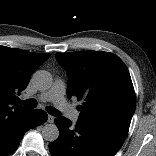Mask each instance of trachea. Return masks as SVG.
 Instances as JSON below:
<instances>
[{"instance_id": "obj_1", "label": "trachea", "mask_w": 156, "mask_h": 156, "mask_svg": "<svg viewBox=\"0 0 156 156\" xmlns=\"http://www.w3.org/2000/svg\"><path fill=\"white\" fill-rule=\"evenodd\" d=\"M16 103L22 104V105L29 107V108H35L37 106V101L35 99H27V100L17 99ZM46 110L50 115H53V116L60 115V112L56 108H54L53 106H47Z\"/></svg>"}]
</instances>
